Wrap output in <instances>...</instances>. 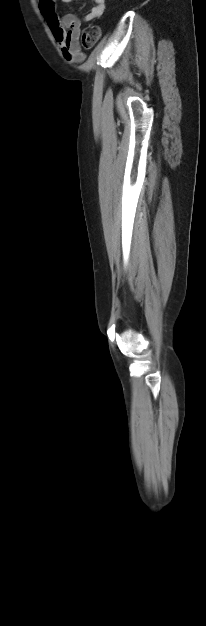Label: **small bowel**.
<instances>
[{"mask_svg": "<svg viewBox=\"0 0 206 626\" xmlns=\"http://www.w3.org/2000/svg\"><path fill=\"white\" fill-rule=\"evenodd\" d=\"M61 1L70 5L75 2V0ZM94 2V7L83 17L85 21L98 19L105 12L106 0H94ZM39 5L65 60L70 63L83 62L86 55L79 42L81 26L79 17L73 13L60 17L56 12V0H39Z\"/></svg>", "mask_w": 206, "mask_h": 626, "instance_id": "small-bowel-1", "label": "small bowel"}]
</instances>
